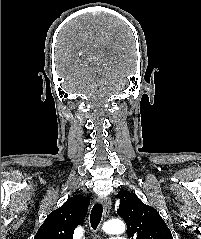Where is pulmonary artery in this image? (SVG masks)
<instances>
[{
    "label": "pulmonary artery",
    "instance_id": "pulmonary-artery-1",
    "mask_svg": "<svg viewBox=\"0 0 201 239\" xmlns=\"http://www.w3.org/2000/svg\"><path fill=\"white\" fill-rule=\"evenodd\" d=\"M110 239H127L126 237H123V236H114Z\"/></svg>",
    "mask_w": 201,
    "mask_h": 239
}]
</instances>
